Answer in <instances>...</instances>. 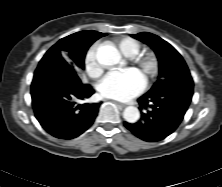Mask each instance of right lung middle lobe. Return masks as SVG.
Instances as JSON below:
<instances>
[{
    "instance_id": "dd1d6c3e",
    "label": "right lung middle lobe",
    "mask_w": 222,
    "mask_h": 187,
    "mask_svg": "<svg viewBox=\"0 0 222 187\" xmlns=\"http://www.w3.org/2000/svg\"><path fill=\"white\" fill-rule=\"evenodd\" d=\"M95 40L75 36L70 40L62 42L57 49L51 48L44 56L62 57L72 69H84V59L90 45Z\"/></svg>"
}]
</instances>
